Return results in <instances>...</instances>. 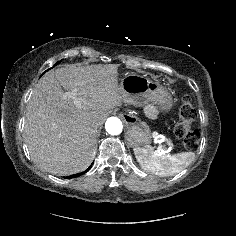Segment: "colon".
Instances as JSON below:
<instances>
[{
	"mask_svg": "<svg viewBox=\"0 0 236 236\" xmlns=\"http://www.w3.org/2000/svg\"><path fill=\"white\" fill-rule=\"evenodd\" d=\"M195 115L196 109L193 106L191 97L188 94H184L181 98L180 120L175 126V135L183 141L186 149L190 151H195L198 148L201 138L199 129L192 126Z\"/></svg>",
	"mask_w": 236,
	"mask_h": 236,
	"instance_id": "5ec220e1",
	"label": "colon"
}]
</instances>
